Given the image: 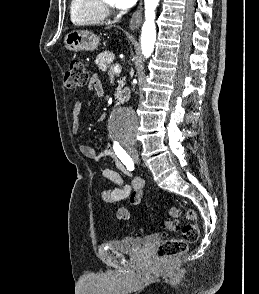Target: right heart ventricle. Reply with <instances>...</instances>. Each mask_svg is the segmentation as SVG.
<instances>
[{
	"label": "right heart ventricle",
	"instance_id": "obj_1",
	"mask_svg": "<svg viewBox=\"0 0 259 294\" xmlns=\"http://www.w3.org/2000/svg\"><path fill=\"white\" fill-rule=\"evenodd\" d=\"M70 17L76 25H97L105 21L107 12L100 0H72Z\"/></svg>",
	"mask_w": 259,
	"mask_h": 294
}]
</instances>
